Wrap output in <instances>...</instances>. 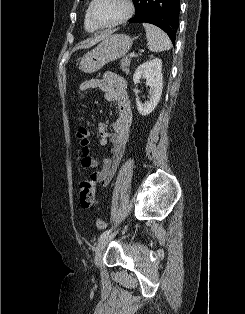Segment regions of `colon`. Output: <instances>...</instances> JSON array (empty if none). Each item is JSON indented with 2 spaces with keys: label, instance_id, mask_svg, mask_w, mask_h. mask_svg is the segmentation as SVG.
I'll return each instance as SVG.
<instances>
[{
  "label": "colon",
  "instance_id": "colon-1",
  "mask_svg": "<svg viewBox=\"0 0 245 314\" xmlns=\"http://www.w3.org/2000/svg\"><path fill=\"white\" fill-rule=\"evenodd\" d=\"M96 187L92 179H85L79 183L80 204L85 209H90L95 201ZM96 225L100 230L107 228V223L102 219H97Z\"/></svg>",
  "mask_w": 245,
  "mask_h": 314
}]
</instances>
